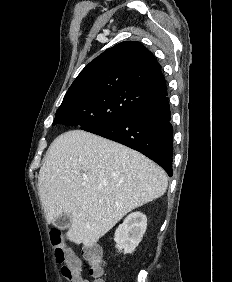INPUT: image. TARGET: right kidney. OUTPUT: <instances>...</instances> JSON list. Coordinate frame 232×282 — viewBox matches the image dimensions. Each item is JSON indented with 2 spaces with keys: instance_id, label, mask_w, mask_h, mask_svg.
I'll return each instance as SVG.
<instances>
[{
  "instance_id": "obj_1",
  "label": "right kidney",
  "mask_w": 232,
  "mask_h": 282,
  "mask_svg": "<svg viewBox=\"0 0 232 282\" xmlns=\"http://www.w3.org/2000/svg\"><path fill=\"white\" fill-rule=\"evenodd\" d=\"M147 228V218L143 213L128 215L115 232L116 248L125 253H132L143 238Z\"/></svg>"
}]
</instances>
